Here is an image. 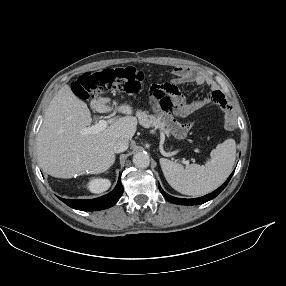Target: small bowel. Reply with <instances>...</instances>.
I'll return each instance as SVG.
<instances>
[{
	"mask_svg": "<svg viewBox=\"0 0 286 286\" xmlns=\"http://www.w3.org/2000/svg\"><path fill=\"white\" fill-rule=\"evenodd\" d=\"M173 74L175 78L173 79V86L177 89V94L173 97L175 101V114L179 117L185 118L196 111L202 109L207 104H216L221 108H228L227 101L224 95L217 89H213L211 92L206 94L200 99L193 100L191 102H186L185 98L179 92L176 85L195 83L197 85H212L209 77L200 70H195L187 66H178L174 68Z\"/></svg>",
	"mask_w": 286,
	"mask_h": 286,
	"instance_id": "1",
	"label": "small bowel"
}]
</instances>
